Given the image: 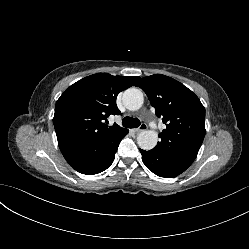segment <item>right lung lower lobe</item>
<instances>
[{"label": "right lung lower lobe", "mask_w": 249, "mask_h": 249, "mask_svg": "<svg viewBox=\"0 0 249 249\" xmlns=\"http://www.w3.org/2000/svg\"><path fill=\"white\" fill-rule=\"evenodd\" d=\"M128 132L126 129L95 142L62 143L59 148L75 170L93 175L106 170L113 163L119 143Z\"/></svg>", "instance_id": "obj_1"}]
</instances>
